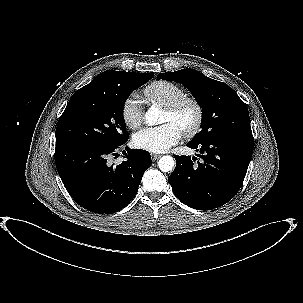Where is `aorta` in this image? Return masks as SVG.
<instances>
[{"label": "aorta", "mask_w": 303, "mask_h": 303, "mask_svg": "<svg viewBox=\"0 0 303 303\" xmlns=\"http://www.w3.org/2000/svg\"><path fill=\"white\" fill-rule=\"evenodd\" d=\"M160 110L156 106H151L145 114L146 122L149 125H156L159 121ZM159 169L163 172H169L174 168V159L173 157L166 155L160 158Z\"/></svg>", "instance_id": "aorta-1"}]
</instances>
